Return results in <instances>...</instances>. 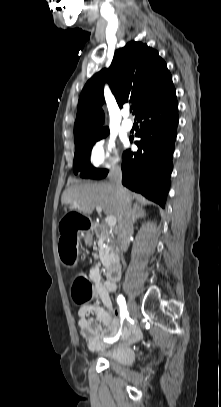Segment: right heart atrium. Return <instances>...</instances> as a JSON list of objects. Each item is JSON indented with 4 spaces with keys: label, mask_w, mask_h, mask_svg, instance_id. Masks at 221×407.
Segmentation results:
<instances>
[{
    "label": "right heart atrium",
    "mask_w": 221,
    "mask_h": 407,
    "mask_svg": "<svg viewBox=\"0 0 221 407\" xmlns=\"http://www.w3.org/2000/svg\"><path fill=\"white\" fill-rule=\"evenodd\" d=\"M120 156L116 143L110 138H101L94 142L89 153V163L96 168H110L118 165Z\"/></svg>",
    "instance_id": "d8ad5b80"
}]
</instances>
